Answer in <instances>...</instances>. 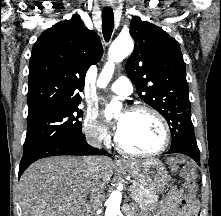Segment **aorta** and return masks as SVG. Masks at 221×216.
<instances>
[{
    "label": "aorta",
    "mask_w": 221,
    "mask_h": 216,
    "mask_svg": "<svg viewBox=\"0 0 221 216\" xmlns=\"http://www.w3.org/2000/svg\"><path fill=\"white\" fill-rule=\"evenodd\" d=\"M133 48L134 43L130 36H119L112 42L108 52L109 60L97 82L99 87H105L109 83L114 72L115 63L122 61L131 54ZM121 107L120 102L116 100L110 102L104 112L106 119H111L113 115L118 114ZM121 201L122 193L120 191H113L106 201L105 216H118L120 214Z\"/></svg>",
    "instance_id": "obj_1"
}]
</instances>
